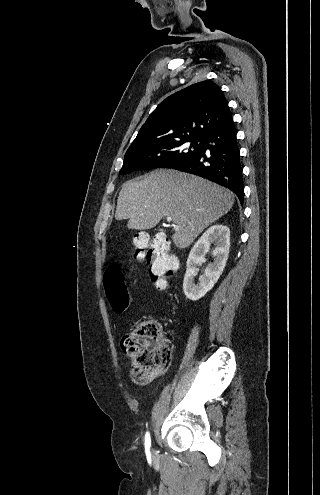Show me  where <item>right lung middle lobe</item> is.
Masks as SVG:
<instances>
[{
    "label": "right lung middle lobe",
    "instance_id": "obj_1",
    "mask_svg": "<svg viewBox=\"0 0 320 495\" xmlns=\"http://www.w3.org/2000/svg\"><path fill=\"white\" fill-rule=\"evenodd\" d=\"M201 142V138H185L128 149L120 173L126 174L136 170L163 167L172 168L196 154L200 149Z\"/></svg>",
    "mask_w": 320,
    "mask_h": 495
}]
</instances>
